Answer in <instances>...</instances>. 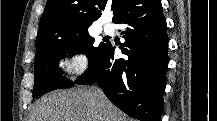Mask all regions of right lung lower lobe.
<instances>
[{"label": "right lung lower lobe", "mask_w": 217, "mask_h": 121, "mask_svg": "<svg viewBox=\"0 0 217 121\" xmlns=\"http://www.w3.org/2000/svg\"><path fill=\"white\" fill-rule=\"evenodd\" d=\"M126 24L120 49L126 59L114 60L110 42L78 84L98 82L107 98L132 118L159 121L168 64V36L161 0H139L115 22Z\"/></svg>", "instance_id": "obj_1"}]
</instances>
